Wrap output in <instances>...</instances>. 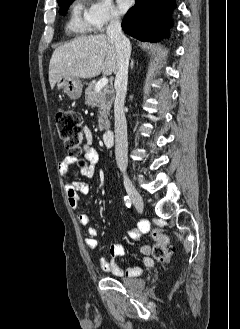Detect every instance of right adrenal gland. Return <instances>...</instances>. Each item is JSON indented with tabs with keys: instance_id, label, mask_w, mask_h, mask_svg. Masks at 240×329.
<instances>
[{
	"instance_id": "right-adrenal-gland-1",
	"label": "right adrenal gland",
	"mask_w": 240,
	"mask_h": 329,
	"mask_svg": "<svg viewBox=\"0 0 240 329\" xmlns=\"http://www.w3.org/2000/svg\"><path fill=\"white\" fill-rule=\"evenodd\" d=\"M133 65H134V62H133V60L131 61V68H133Z\"/></svg>"
}]
</instances>
